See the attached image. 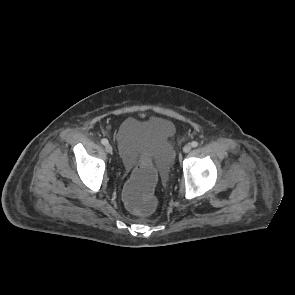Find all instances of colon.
<instances>
[{
    "label": "colon",
    "instance_id": "5ec220e1",
    "mask_svg": "<svg viewBox=\"0 0 295 295\" xmlns=\"http://www.w3.org/2000/svg\"><path fill=\"white\" fill-rule=\"evenodd\" d=\"M157 168L149 160L138 162L132 181L123 188V199L127 208L140 217H151L157 211V200L152 196L157 189Z\"/></svg>",
    "mask_w": 295,
    "mask_h": 295
}]
</instances>
